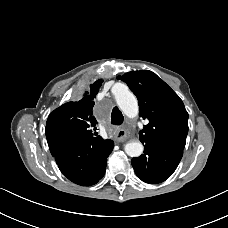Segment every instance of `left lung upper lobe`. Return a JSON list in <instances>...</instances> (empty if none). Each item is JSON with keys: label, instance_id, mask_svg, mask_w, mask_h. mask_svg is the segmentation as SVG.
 <instances>
[{"label": "left lung upper lobe", "instance_id": "1", "mask_svg": "<svg viewBox=\"0 0 228 228\" xmlns=\"http://www.w3.org/2000/svg\"><path fill=\"white\" fill-rule=\"evenodd\" d=\"M137 96L139 116L148 120L140 141L162 142L184 149L188 133V113L180 97L155 73L148 70L119 75Z\"/></svg>", "mask_w": 228, "mask_h": 228}]
</instances>
